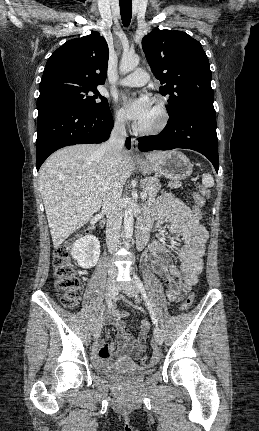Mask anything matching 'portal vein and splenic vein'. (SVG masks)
Listing matches in <instances>:
<instances>
[{"label": "portal vein and splenic vein", "mask_w": 259, "mask_h": 431, "mask_svg": "<svg viewBox=\"0 0 259 431\" xmlns=\"http://www.w3.org/2000/svg\"><path fill=\"white\" fill-rule=\"evenodd\" d=\"M146 196H147L146 191H142L141 194H140V197L141 198H145Z\"/></svg>", "instance_id": "portal-vein-and-splenic-vein-1"}]
</instances>
